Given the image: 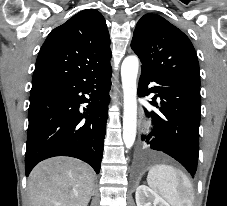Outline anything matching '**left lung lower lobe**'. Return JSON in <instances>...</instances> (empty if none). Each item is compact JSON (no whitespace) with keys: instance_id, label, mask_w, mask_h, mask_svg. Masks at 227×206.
Wrapping results in <instances>:
<instances>
[{"instance_id":"1","label":"left lung lower lobe","mask_w":227,"mask_h":206,"mask_svg":"<svg viewBox=\"0 0 227 206\" xmlns=\"http://www.w3.org/2000/svg\"><path fill=\"white\" fill-rule=\"evenodd\" d=\"M157 86L148 90L150 82ZM157 93L150 104L159 108L160 113L145 112L152 118V129L141 139L147 149L162 151L179 161L191 175L197 169L199 153V125L201 117L200 86L179 78L150 72L142 68L138 95ZM160 97L158 106L156 98ZM151 136L155 138L150 140Z\"/></svg>"}]
</instances>
